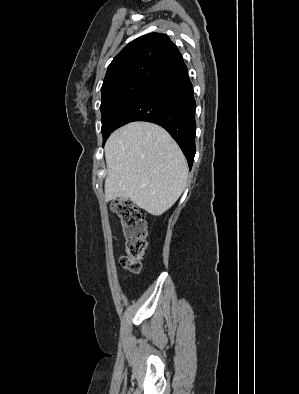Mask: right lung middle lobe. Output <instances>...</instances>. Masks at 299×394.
Listing matches in <instances>:
<instances>
[{"label":"right lung middle lobe","mask_w":299,"mask_h":394,"mask_svg":"<svg viewBox=\"0 0 299 394\" xmlns=\"http://www.w3.org/2000/svg\"><path fill=\"white\" fill-rule=\"evenodd\" d=\"M149 86L140 83L123 84L102 93L100 110L104 143L123 113Z\"/></svg>","instance_id":"dd1d6c3e"}]
</instances>
